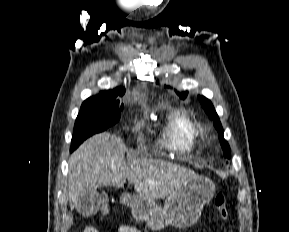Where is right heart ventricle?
I'll use <instances>...</instances> for the list:
<instances>
[{"mask_svg":"<svg viewBox=\"0 0 289 232\" xmlns=\"http://www.w3.org/2000/svg\"><path fill=\"white\" fill-rule=\"evenodd\" d=\"M198 138V126L186 111L173 109L163 117L158 134L161 148L178 153L190 152Z\"/></svg>","mask_w":289,"mask_h":232,"instance_id":"obj_1","label":"right heart ventricle"}]
</instances>
